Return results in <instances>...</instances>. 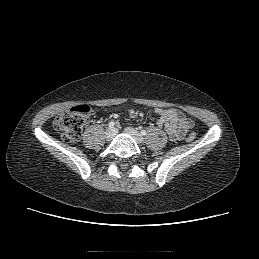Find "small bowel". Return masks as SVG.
<instances>
[{"instance_id":"small-bowel-1","label":"small bowel","mask_w":259,"mask_h":259,"mask_svg":"<svg viewBox=\"0 0 259 259\" xmlns=\"http://www.w3.org/2000/svg\"><path fill=\"white\" fill-rule=\"evenodd\" d=\"M154 113L158 116V126L164 128L173 141L181 140L194 126L190 118L174 108H155Z\"/></svg>"}]
</instances>
